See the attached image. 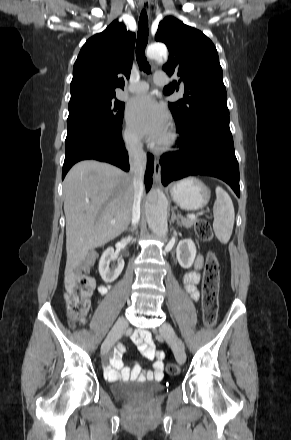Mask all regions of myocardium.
Listing matches in <instances>:
<instances>
[{
  "mask_svg": "<svg viewBox=\"0 0 291 440\" xmlns=\"http://www.w3.org/2000/svg\"><path fill=\"white\" fill-rule=\"evenodd\" d=\"M176 142V134L173 131H169L166 135L154 145V148L157 150H168L170 149Z\"/></svg>",
  "mask_w": 291,
  "mask_h": 440,
  "instance_id": "f54148a6",
  "label": "myocardium"
}]
</instances>
